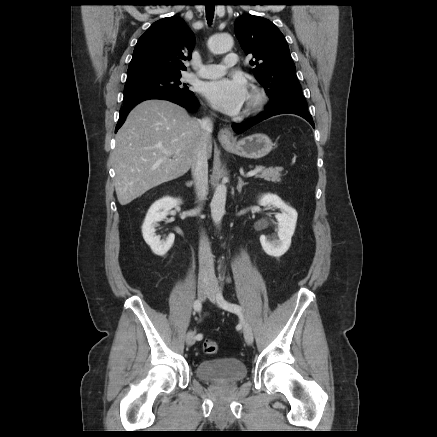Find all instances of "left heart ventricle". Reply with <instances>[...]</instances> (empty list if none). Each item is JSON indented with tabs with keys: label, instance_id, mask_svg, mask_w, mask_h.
Wrapping results in <instances>:
<instances>
[{
	"label": "left heart ventricle",
	"instance_id": "obj_1",
	"mask_svg": "<svg viewBox=\"0 0 437 437\" xmlns=\"http://www.w3.org/2000/svg\"><path fill=\"white\" fill-rule=\"evenodd\" d=\"M250 101H251V96H250V94H249V97H248V99H247L245 105L247 106V105L250 103Z\"/></svg>",
	"mask_w": 437,
	"mask_h": 437
}]
</instances>
